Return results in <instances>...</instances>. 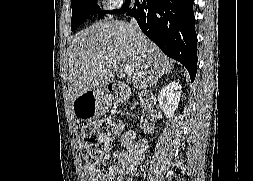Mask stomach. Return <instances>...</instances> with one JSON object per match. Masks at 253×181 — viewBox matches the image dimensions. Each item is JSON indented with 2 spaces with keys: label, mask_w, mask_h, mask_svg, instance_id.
<instances>
[{
  "label": "stomach",
  "mask_w": 253,
  "mask_h": 181,
  "mask_svg": "<svg viewBox=\"0 0 253 181\" xmlns=\"http://www.w3.org/2000/svg\"><path fill=\"white\" fill-rule=\"evenodd\" d=\"M109 103V94L106 91L94 89L76 98L73 110L80 119L96 118L105 113Z\"/></svg>",
  "instance_id": "1"
}]
</instances>
